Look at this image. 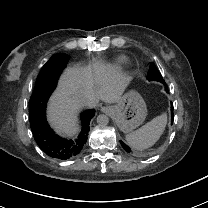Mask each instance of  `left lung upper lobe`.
I'll return each instance as SVG.
<instances>
[{
    "instance_id": "1",
    "label": "left lung upper lobe",
    "mask_w": 208,
    "mask_h": 208,
    "mask_svg": "<svg viewBox=\"0 0 208 208\" xmlns=\"http://www.w3.org/2000/svg\"><path fill=\"white\" fill-rule=\"evenodd\" d=\"M147 79L149 81H159L163 84H165V81L163 80L160 72L158 71V69L156 68V66L154 65V63H152L149 67V71H148V74H147Z\"/></svg>"
}]
</instances>
